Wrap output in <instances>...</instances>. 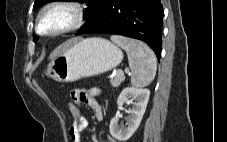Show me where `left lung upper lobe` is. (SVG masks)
Returning a JSON list of instances; mask_svg holds the SVG:
<instances>
[{"label":"left lung upper lobe","instance_id":"5c2ea615","mask_svg":"<svg viewBox=\"0 0 227 142\" xmlns=\"http://www.w3.org/2000/svg\"><path fill=\"white\" fill-rule=\"evenodd\" d=\"M50 1H53V0H36L34 3L33 10L41 7L42 5H44ZM79 2L85 3L87 6L83 13L84 18L87 19V22L85 24H87L88 22H90L93 19V17L97 13V11L103 6V4L106 2V0H79ZM36 39L37 38L34 36V41Z\"/></svg>","mask_w":227,"mask_h":142}]
</instances>
